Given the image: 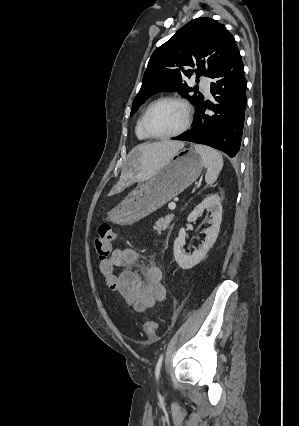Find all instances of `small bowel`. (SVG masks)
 I'll return each instance as SVG.
<instances>
[{
  "label": "small bowel",
  "mask_w": 299,
  "mask_h": 426,
  "mask_svg": "<svg viewBox=\"0 0 299 426\" xmlns=\"http://www.w3.org/2000/svg\"><path fill=\"white\" fill-rule=\"evenodd\" d=\"M118 272V292L125 302L136 311L143 312L166 296L159 267L149 262L139 264V257L133 248H117L109 259Z\"/></svg>",
  "instance_id": "1"
}]
</instances>
